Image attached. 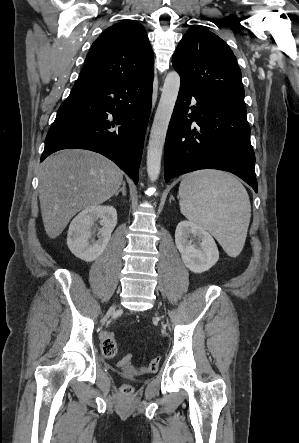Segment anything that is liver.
<instances>
[{
	"label": "liver",
	"instance_id": "liver-1",
	"mask_svg": "<svg viewBox=\"0 0 299 443\" xmlns=\"http://www.w3.org/2000/svg\"><path fill=\"white\" fill-rule=\"evenodd\" d=\"M38 176L42 220L52 239L77 212L110 199L123 181V172L115 163L81 149L49 156L40 165Z\"/></svg>",
	"mask_w": 299,
	"mask_h": 443
}]
</instances>
